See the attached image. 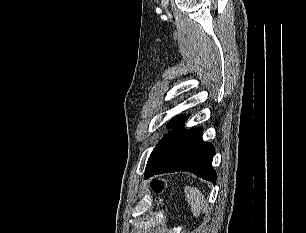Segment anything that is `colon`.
<instances>
[{
    "mask_svg": "<svg viewBox=\"0 0 306 233\" xmlns=\"http://www.w3.org/2000/svg\"><path fill=\"white\" fill-rule=\"evenodd\" d=\"M150 188L155 194L160 195L164 189V182L160 179L152 180L150 182Z\"/></svg>",
    "mask_w": 306,
    "mask_h": 233,
    "instance_id": "colon-1",
    "label": "colon"
}]
</instances>
